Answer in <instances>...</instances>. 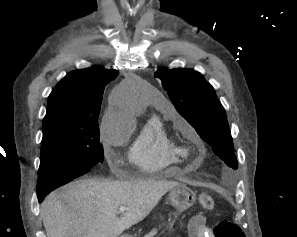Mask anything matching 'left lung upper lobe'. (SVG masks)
I'll use <instances>...</instances> for the list:
<instances>
[{
	"mask_svg": "<svg viewBox=\"0 0 297 237\" xmlns=\"http://www.w3.org/2000/svg\"><path fill=\"white\" fill-rule=\"evenodd\" d=\"M154 76L162 81L177 111L195 128L212 151L229 167L237 168L226 113L213 87L192 69L161 68Z\"/></svg>",
	"mask_w": 297,
	"mask_h": 237,
	"instance_id": "left-lung-upper-lobe-1",
	"label": "left lung upper lobe"
}]
</instances>
